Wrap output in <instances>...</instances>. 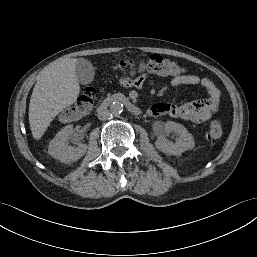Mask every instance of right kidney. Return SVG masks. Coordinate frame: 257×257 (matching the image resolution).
Returning <instances> with one entry per match:
<instances>
[{
  "label": "right kidney",
  "mask_w": 257,
  "mask_h": 257,
  "mask_svg": "<svg viewBox=\"0 0 257 257\" xmlns=\"http://www.w3.org/2000/svg\"><path fill=\"white\" fill-rule=\"evenodd\" d=\"M73 132V125H67L51 140L48 153L53 158L59 159L64 163H70L77 161L86 153V144H79L76 148L68 145V137L72 135Z\"/></svg>",
  "instance_id": "ca27d5eb"
}]
</instances>
